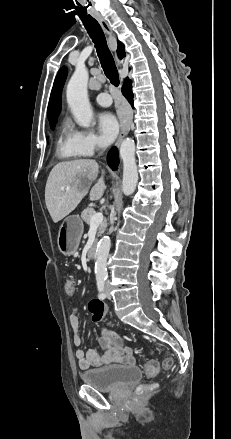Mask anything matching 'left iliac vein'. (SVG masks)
I'll use <instances>...</instances> for the list:
<instances>
[{
    "mask_svg": "<svg viewBox=\"0 0 231 439\" xmlns=\"http://www.w3.org/2000/svg\"><path fill=\"white\" fill-rule=\"evenodd\" d=\"M105 294H106V297L108 299H111V294H110V289H109V283L108 282L105 285Z\"/></svg>",
    "mask_w": 231,
    "mask_h": 439,
    "instance_id": "obj_1",
    "label": "left iliac vein"
}]
</instances>
